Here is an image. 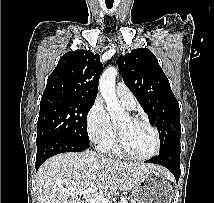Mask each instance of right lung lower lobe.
<instances>
[{"label": "right lung lower lobe", "instance_id": "98d812e1", "mask_svg": "<svg viewBox=\"0 0 214 203\" xmlns=\"http://www.w3.org/2000/svg\"><path fill=\"white\" fill-rule=\"evenodd\" d=\"M90 147L87 143H81L66 138H50L37 145L36 171L41 164L53 155L64 152H81Z\"/></svg>", "mask_w": 214, "mask_h": 203}]
</instances>
